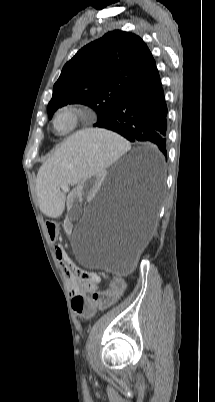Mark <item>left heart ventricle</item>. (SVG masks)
Returning a JSON list of instances; mask_svg holds the SVG:
<instances>
[{"mask_svg":"<svg viewBox=\"0 0 215 402\" xmlns=\"http://www.w3.org/2000/svg\"><path fill=\"white\" fill-rule=\"evenodd\" d=\"M67 125H68V119L67 118H61L58 121V124H57L58 128L61 129V130L65 129L67 127Z\"/></svg>","mask_w":215,"mask_h":402,"instance_id":"1","label":"left heart ventricle"}]
</instances>
